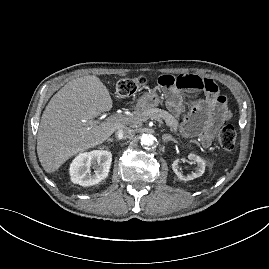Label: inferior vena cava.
<instances>
[{"label": "inferior vena cava", "instance_id": "obj_1", "mask_svg": "<svg viewBox=\"0 0 269 269\" xmlns=\"http://www.w3.org/2000/svg\"><path fill=\"white\" fill-rule=\"evenodd\" d=\"M115 135H116V138H118V139L128 138L132 135V130L128 127H123L121 129L117 130Z\"/></svg>", "mask_w": 269, "mask_h": 269}]
</instances>
